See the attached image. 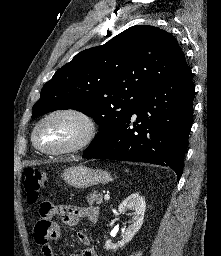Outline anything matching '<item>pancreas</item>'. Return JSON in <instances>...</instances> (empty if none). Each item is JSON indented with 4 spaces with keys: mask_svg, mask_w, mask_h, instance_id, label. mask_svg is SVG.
<instances>
[{
    "mask_svg": "<svg viewBox=\"0 0 221 256\" xmlns=\"http://www.w3.org/2000/svg\"><path fill=\"white\" fill-rule=\"evenodd\" d=\"M86 200L90 205H93L94 203L100 205L103 202L102 195L95 190L87 195Z\"/></svg>",
    "mask_w": 221,
    "mask_h": 256,
    "instance_id": "1",
    "label": "pancreas"
}]
</instances>
